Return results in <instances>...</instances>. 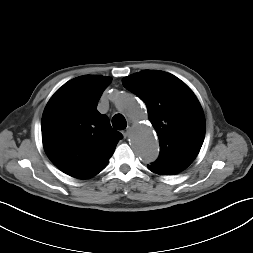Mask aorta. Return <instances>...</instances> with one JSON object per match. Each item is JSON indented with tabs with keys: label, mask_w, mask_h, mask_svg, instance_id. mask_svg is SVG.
I'll list each match as a JSON object with an SVG mask.
<instances>
[{
	"label": "aorta",
	"mask_w": 253,
	"mask_h": 253,
	"mask_svg": "<svg viewBox=\"0 0 253 253\" xmlns=\"http://www.w3.org/2000/svg\"><path fill=\"white\" fill-rule=\"evenodd\" d=\"M114 104L120 112L136 121L130 138L134 152L145 163L156 160L159 144L153 128L145 122H140L144 117V112L136 99L128 94L118 93L114 98Z\"/></svg>",
	"instance_id": "aorta-1"
}]
</instances>
